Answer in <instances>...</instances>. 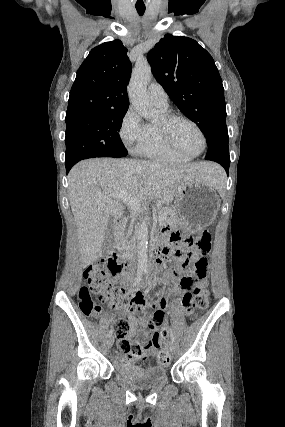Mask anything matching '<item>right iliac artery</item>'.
<instances>
[{
  "mask_svg": "<svg viewBox=\"0 0 285 427\" xmlns=\"http://www.w3.org/2000/svg\"><path fill=\"white\" fill-rule=\"evenodd\" d=\"M142 276V270L139 271V275L138 278L140 279V277ZM112 335V329L108 332V336Z\"/></svg>",
  "mask_w": 285,
  "mask_h": 427,
  "instance_id": "right-iliac-artery-1",
  "label": "right iliac artery"
}]
</instances>
